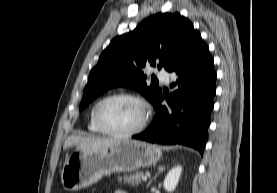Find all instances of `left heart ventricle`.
<instances>
[{"mask_svg": "<svg viewBox=\"0 0 277 193\" xmlns=\"http://www.w3.org/2000/svg\"><path fill=\"white\" fill-rule=\"evenodd\" d=\"M142 116L143 107L129 99L109 101L100 109V119L104 126L117 132L135 128L141 122Z\"/></svg>", "mask_w": 277, "mask_h": 193, "instance_id": "obj_1", "label": "left heart ventricle"}]
</instances>
